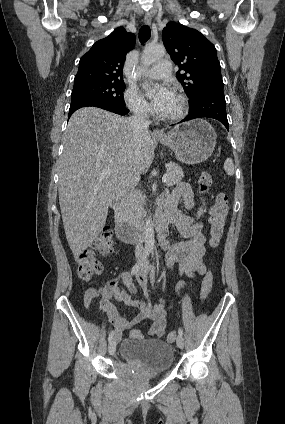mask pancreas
<instances>
[{"mask_svg":"<svg viewBox=\"0 0 285 424\" xmlns=\"http://www.w3.org/2000/svg\"><path fill=\"white\" fill-rule=\"evenodd\" d=\"M167 167V180L165 185L172 187L179 183L184 177L182 168L175 163H168ZM146 203V196L140 191L130 192L123 200V212L126 218L137 222L144 212V206Z\"/></svg>","mask_w":285,"mask_h":424,"instance_id":"cf45deb5","label":"pancreas"}]
</instances>
